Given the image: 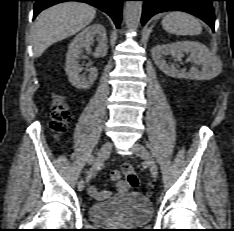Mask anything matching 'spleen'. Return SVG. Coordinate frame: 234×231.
I'll return each mask as SVG.
<instances>
[{"label":"spleen","instance_id":"spleen-1","mask_svg":"<svg viewBox=\"0 0 234 231\" xmlns=\"http://www.w3.org/2000/svg\"><path fill=\"white\" fill-rule=\"evenodd\" d=\"M161 24L165 31L175 35H198L202 32L199 20L181 11L167 13Z\"/></svg>","mask_w":234,"mask_h":231}]
</instances>
